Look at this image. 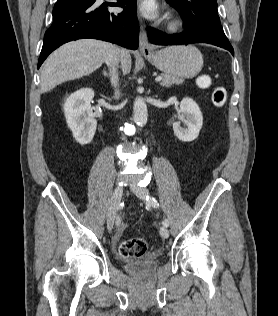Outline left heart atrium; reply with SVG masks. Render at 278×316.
Segmentation results:
<instances>
[{
  "mask_svg": "<svg viewBox=\"0 0 278 316\" xmlns=\"http://www.w3.org/2000/svg\"><path fill=\"white\" fill-rule=\"evenodd\" d=\"M142 11L147 17L155 18L158 15V6L155 0H144Z\"/></svg>",
  "mask_w": 278,
  "mask_h": 316,
  "instance_id": "39dd6f15",
  "label": "left heart atrium"
}]
</instances>
